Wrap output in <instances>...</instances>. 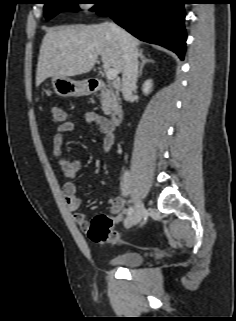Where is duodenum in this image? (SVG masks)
I'll list each match as a JSON object with an SVG mask.
<instances>
[{
    "mask_svg": "<svg viewBox=\"0 0 236 321\" xmlns=\"http://www.w3.org/2000/svg\"><path fill=\"white\" fill-rule=\"evenodd\" d=\"M89 89L91 92H96L104 89V83L97 78H93L89 82ZM124 113L121 109L115 108L110 111L109 118L114 125H119L123 119Z\"/></svg>",
    "mask_w": 236,
    "mask_h": 321,
    "instance_id": "obj_1",
    "label": "duodenum"
}]
</instances>
